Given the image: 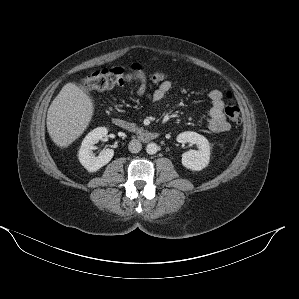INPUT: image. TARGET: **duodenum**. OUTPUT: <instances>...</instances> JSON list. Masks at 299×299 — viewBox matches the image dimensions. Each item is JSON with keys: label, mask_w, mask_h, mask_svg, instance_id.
<instances>
[{"label": "duodenum", "mask_w": 299, "mask_h": 299, "mask_svg": "<svg viewBox=\"0 0 299 299\" xmlns=\"http://www.w3.org/2000/svg\"><path fill=\"white\" fill-rule=\"evenodd\" d=\"M113 123L117 127H120L122 129H125V130L131 132L132 134H134L141 140L150 141V140H154V139L158 138V134L148 131V130H145V129H142L141 127L137 126L136 124H134L128 120H125L123 118H114Z\"/></svg>", "instance_id": "duodenum-1"}]
</instances>
